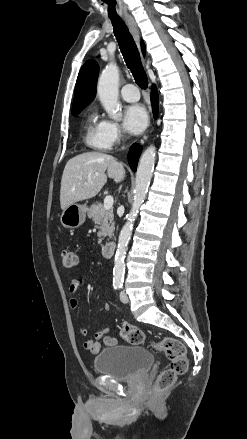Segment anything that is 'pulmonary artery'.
Returning <instances> with one entry per match:
<instances>
[{"mask_svg": "<svg viewBox=\"0 0 247 439\" xmlns=\"http://www.w3.org/2000/svg\"><path fill=\"white\" fill-rule=\"evenodd\" d=\"M121 96L125 101L136 102L139 100V91L133 84H126L121 89Z\"/></svg>", "mask_w": 247, "mask_h": 439, "instance_id": "e3ab8cb5", "label": "pulmonary artery"}]
</instances>
